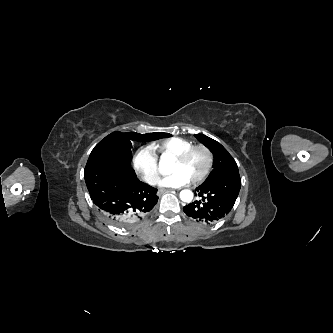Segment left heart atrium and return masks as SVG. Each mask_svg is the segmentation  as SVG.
I'll return each mask as SVG.
<instances>
[{
    "mask_svg": "<svg viewBox=\"0 0 333 333\" xmlns=\"http://www.w3.org/2000/svg\"><path fill=\"white\" fill-rule=\"evenodd\" d=\"M191 180L182 172H174L165 177L160 185L163 187L178 188L188 184Z\"/></svg>",
    "mask_w": 333,
    "mask_h": 333,
    "instance_id": "left-heart-atrium-1",
    "label": "left heart atrium"
}]
</instances>
